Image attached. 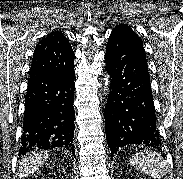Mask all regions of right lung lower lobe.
<instances>
[{
    "label": "right lung lower lobe",
    "mask_w": 183,
    "mask_h": 179,
    "mask_svg": "<svg viewBox=\"0 0 183 179\" xmlns=\"http://www.w3.org/2000/svg\"><path fill=\"white\" fill-rule=\"evenodd\" d=\"M74 71L68 75L30 78L20 155L32 150L65 148L75 153Z\"/></svg>",
    "instance_id": "98d812e1"
}]
</instances>
